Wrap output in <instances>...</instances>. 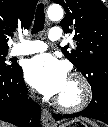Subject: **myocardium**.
I'll return each instance as SVG.
<instances>
[{"mask_svg":"<svg viewBox=\"0 0 108 127\" xmlns=\"http://www.w3.org/2000/svg\"><path fill=\"white\" fill-rule=\"evenodd\" d=\"M69 79L74 81L79 89V97L73 103H67L59 98L54 99V105L63 112H78L87 107L91 99V87L87 79L78 72L70 74Z\"/></svg>","mask_w":108,"mask_h":127,"instance_id":"1","label":"myocardium"}]
</instances>
